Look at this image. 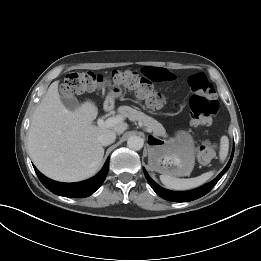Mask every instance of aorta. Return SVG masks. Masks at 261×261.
I'll return each mask as SVG.
<instances>
[{
    "label": "aorta",
    "instance_id": "1",
    "mask_svg": "<svg viewBox=\"0 0 261 261\" xmlns=\"http://www.w3.org/2000/svg\"><path fill=\"white\" fill-rule=\"evenodd\" d=\"M143 144H144L143 139L138 136H131L127 140V146L131 150H136V151L141 150L143 147Z\"/></svg>",
    "mask_w": 261,
    "mask_h": 261
}]
</instances>
